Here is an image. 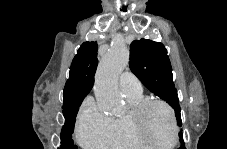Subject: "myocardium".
<instances>
[{
	"mask_svg": "<svg viewBox=\"0 0 227 149\" xmlns=\"http://www.w3.org/2000/svg\"><path fill=\"white\" fill-rule=\"evenodd\" d=\"M153 106H161L167 110L170 115L172 127H173V138L169 144H158L153 142L145 132V117L147 112ZM129 120L132 129L140 140H142L147 146L152 147H172L175 146L178 141L179 127L176 119L174 109L165 101L158 99H145L138 105H136L130 112Z\"/></svg>",
	"mask_w": 227,
	"mask_h": 149,
	"instance_id": "obj_1",
	"label": "myocardium"
}]
</instances>
